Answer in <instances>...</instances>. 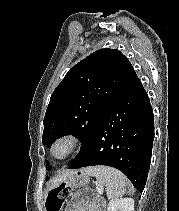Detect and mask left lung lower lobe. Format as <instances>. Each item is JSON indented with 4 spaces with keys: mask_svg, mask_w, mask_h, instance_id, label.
Masks as SVG:
<instances>
[{
    "mask_svg": "<svg viewBox=\"0 0 179 211\" xmlns=\"http://www.w3.org/2000/svg\"><path fill=\"white\" fill-rule=\"evenodd\" d=\"M153 140V110L132 68L102 114L89 144L68 168L111 166L123 172L142 192L150 168Z\"/></svg>",
    "mask_w": 179,
    "mask_h": 211,
    "instance_id": "obj_1",
    "label": "left lung lower lobe"
}]
</instances>
